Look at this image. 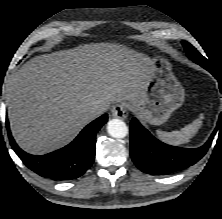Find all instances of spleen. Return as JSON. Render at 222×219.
Returning <instances> with one entry per match:
<instances>
[{
  "label": "spleen",
  "instance_id": "obj_1",
  "mask_svg": "<svg viewBox=\"0 0 222 219\" xmlns=\"http://www.w3.org/2000/svg\"><path fill=\"white\" fill-rule=\"evenodd\" d=\"M203 118L204 115L200 114L199 118L183 127L180 131L165 132L157 130V136L165 143L175 146L187 143L198 132L202 125Z\"/></svg>",
  "mask_w": 222,
  "mask_h": 219
}]
</instances>
